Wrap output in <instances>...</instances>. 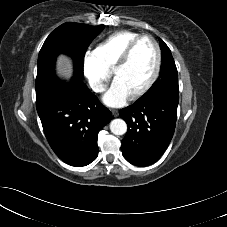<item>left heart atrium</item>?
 I'll list each match as a JSON object with an SVG mask.
<instances>
[{
  "instance_id": "1",
  "label": "left heart atrium",
  "mask_w": 227,
  "mask_h": 227,
  "mask_svg": "<svg viewBox=\"0 0 227 227\" xmlns=\"http://www.w3.org/2000/svg\"><path fill=\"white\" fill-rule=\"evenodd\" d=\"M128 97L129 94L126 89L118 81L114 80L103 96V101L110 107H119L126 103Z\"/></svg>"
}]
</instances>
